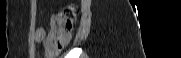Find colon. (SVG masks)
Listing matches in <instances>:
<instances>
[{
	"label": "colon",
	"instance_id": "obj_1",
	"mask_svg": "<svg viewBox=\"0 0 181 58\" xmlns=\"http://www.w3.org/2000/svg\"><path fill=\"white\" fill-rule=\"evenodd\" d=\"M75 17L76 8L73 5L64 7L53 16L51 20V31L46 40V45L50 50L60 51L68 44Z\"/></svg>",
	"mask_w": 181,
	"mask_h": 58
}]
</instances>
